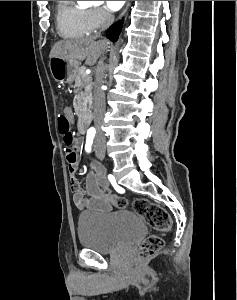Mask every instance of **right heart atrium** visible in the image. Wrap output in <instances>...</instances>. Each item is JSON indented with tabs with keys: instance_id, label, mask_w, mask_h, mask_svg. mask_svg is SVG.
<instances>
[{
	"instance_id": "d8ad5b80",
	"label": "right heart atrium",
	"mask_w": 237,
	"mask_h": 300,
	"mask_svg": "<svg viewBox=\"0 0 237 300\" xmlns=\"http://www.w3.org/2000/svg\"><path fill=\"white\" fill-rule=\"evenodd\" d=\"M110 21V15L102 8L94 7L86 11L85 28L87 32H93Z\"/></svg>"
}]
</instances>
